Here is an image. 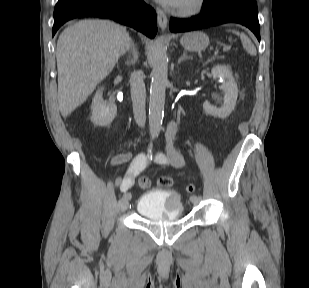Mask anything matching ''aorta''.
<instances>
[{"label":"aorta","mask_w":309,"mask_h":288,"mask_svg":"<svg viewBox=\"0 0 309 288\" xmlns=\"http://www.w3.org/2000/svg\"><path fill=\"white\" fill-rule=\"evenodd\" d=\"M152 81L149 100V128L152 138L159 135L165 105V90L168 83V57L166 48L156 40L152 59Z\"/></svg>","instance_id":"1"}]
</instances>
